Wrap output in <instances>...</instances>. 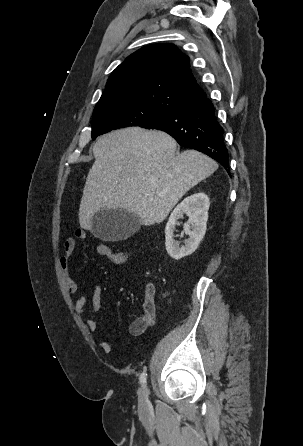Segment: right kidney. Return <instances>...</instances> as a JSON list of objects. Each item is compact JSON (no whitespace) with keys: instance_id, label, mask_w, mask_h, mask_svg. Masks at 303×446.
Wrapping results in <instances>:
<instances>
[{"instance_id":"ca27d5eb","label":"right kidney","mask_w":303,"mask_h":446,"mask_svg":"<svg viewBox=\"0 0 303 446\" xmlns=\"http://www.w3.org/2000/svg\"><path fill=\"white\" fill-rule=\"evenodd\" d=\"M210 202L204 193H196L186 197L171 213L165 228V246L168 254L175 260L191 255L199 246L205 232L208 221ZM186 214L188 223L184 225V231L189 236L185 245L179 247V242L173 239V232L177 220Z\"/></svg>"}]
</instances>
